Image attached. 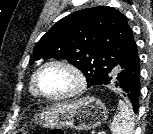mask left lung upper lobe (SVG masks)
<instances>
[{"label":"left lung upper lobe","instance_id":"5c2ea615","mask_svg":"<svg viewBox=\"0 0 153 134\" xmlns=\"http://www.w3.org/2000/svg\"><path fill=\"white\" fill-rule=\"evenodd\" d=\"M137 47L126 17L108 6L76 11L59 20L34 48L36 58H64L98 85Z\"/></svg>","mask_w":153,"mask_h":134}]
</instances>
